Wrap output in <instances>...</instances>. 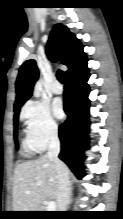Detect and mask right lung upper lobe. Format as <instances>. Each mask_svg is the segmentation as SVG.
I'll return each instance as SVG.
<instances>
[{"instance_id": "cb5924a9", "label": "right lung upper lobe", "mask_w": 123, "mask_h": 219, "mask_svg": "<svg viewBox=\"0 0 123 219\" xmlns=\"http://www.w3.org/2000/svg\"><path fill=\"white\" fill-rule=\"evenodd\" d=\"M46 53L51 60H60L68 67L66 77L87 61L80 41L60 23L56 24L51 32ZM38 75V68L33 59L23 63L16 80L15 112L20 111L21 106L31 97Z\"/></svg>"}]
</instances>
